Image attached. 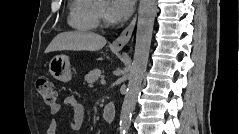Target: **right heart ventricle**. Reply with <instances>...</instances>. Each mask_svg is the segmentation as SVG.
Here are the masks:
<instances>
[{
  "label": "right heart ventricle",
  "mask_w": 239,
  "mask_h": 134,
  "mask_svg": "<svg viewBox=\"0 0 239 134\" xmlns=\"http://www.w3.org/2000/svg\"><path fill=\"white\" fill-rule=\"evenodd\" d=\"M97 3L96 0H73L69 9V25L78 31H94L98 26Z\"/></svg>",
  "instance_id": "e07e8e85"
}]
</instances>
